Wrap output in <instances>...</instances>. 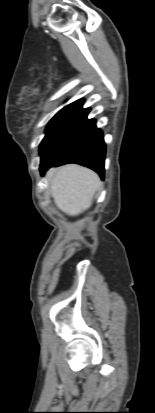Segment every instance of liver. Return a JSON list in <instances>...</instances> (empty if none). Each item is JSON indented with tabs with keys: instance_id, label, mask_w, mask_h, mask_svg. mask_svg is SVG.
Instances as JSON below:
<instances>
[{
	"instance_id": "6515ba94",
	"label": "liver",
	"mask_w": 155,
	"mask_h": 413,
	"mask_svg": "<svg viewBox=\"0 0 155 413\" xmlns=\"http://www.w3.org/2000/svg\"><path fill=\"white\" fill-rule=\"evenodd\" d=\"M51 195L56 206L70 216H76L92 205L93 196L100 187V178L92 170L68 164L47 172Z\"/></svg>"
}]
</instances>
